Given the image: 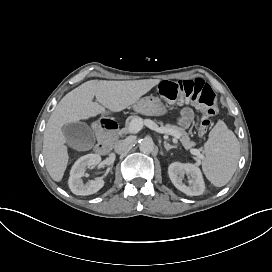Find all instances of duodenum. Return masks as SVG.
Masks as SVG:
<instances>
[{
    "mask_svg": "<svg viewBox=\"0 0 272 272\" xmlns=\"http://www.w3.org/2000/svg\"><path fill=\"white\" fill-rule=\"evenodd\" d=\"M97 135L96 152L108 153L118 136V124L112 119H101L97 127Z\"/></svg>",
    "mask_w": 272,
    "mask_h": 272,
    "instance_id": "410a0bca",
    "label": "duodenum"
}]
</instances>
